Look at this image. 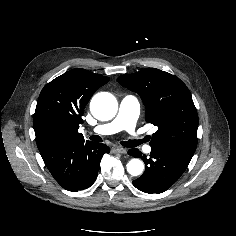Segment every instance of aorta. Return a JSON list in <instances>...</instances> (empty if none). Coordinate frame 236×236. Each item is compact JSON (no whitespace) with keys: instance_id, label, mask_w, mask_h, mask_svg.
Masks as SVG:
<instances>
[{"instance_id":"aorta-1","label":"aorta","mask_w":236,"mask_h":236,"mask_svg":"<svg viewBox=\"0 0 236 236\" xmlns=\"http://www.w3.org/2000/svg\"><path fill=\"white\" fill-rule=\"evenodd\" d=\"M90 109L95 118L106 121L115 117L118 103L112 94L102 92L92 98ZM126 166L128 173L132 176H138L144 170V164L139 159H131Z\"/></svg>"}]
</instances>
